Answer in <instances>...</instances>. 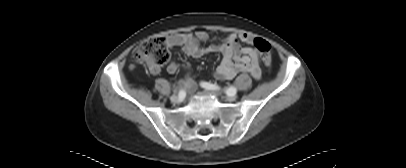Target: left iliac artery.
<instances>
[{
    "instance_id": "obj_1",
    "label": "left iliac artery",
    "mask_w": 406,
    "mask_h": 168,
    "mask_svg": "<svg viewBox=\"0 0 406 168\" xmlns=\"http://www.w3.org/2000/svg\"><path fill=\"white\" fill-rule=\"evenodd\" d=\"M201 86L208 90H219L220 89L218 85L211 84L208 82H201ZM226 94L227 95L236 94V88L234 86H230L229 88L226 89Z\"/></svg>"
}]
</instances>
